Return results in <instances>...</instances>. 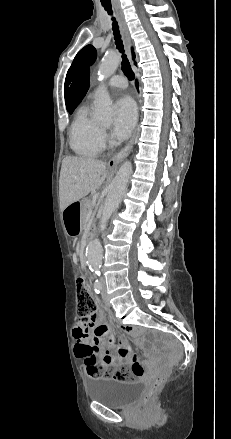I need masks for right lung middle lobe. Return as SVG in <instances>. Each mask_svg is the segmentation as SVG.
I'll return each instance as SVG.
<instances>
[{"label":"right lung middle lobe","instance_id":"obj_1","mask_svg":"<svg viewBox=\"0 0 231 439\" xmlns=\"http://www.w3.org/2000/svg\"><path fill=\"white\" fill-rule=\"evenodd\" d=\"M73 110H74V109H72V110L70 111V113H72V112H73Z\"/></svg>","mask_w":231,"mask_h":439}]
</instances>
